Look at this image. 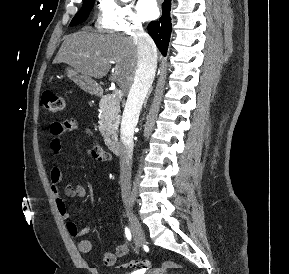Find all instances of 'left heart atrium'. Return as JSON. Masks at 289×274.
I'll list each match as a JSON object with an SVG mask.
<instances>
[{"label":"left heart atrium","instance_id":"39dd6f15","mask_svg":"<svg viewBox=\"0 0 289 274\" xmlns=\"http://www.w3.org/2000/svg\"><path fill=\"white\" fill-rule=\"evenodd\" d=\"M137 10L144 20L154 19L159 12L156 0H138Z\"/></svg>","mask_w":289,"mask_h":274}]
</instances>
